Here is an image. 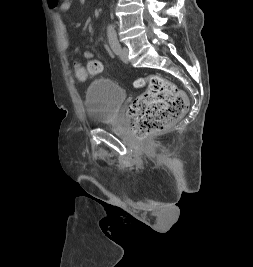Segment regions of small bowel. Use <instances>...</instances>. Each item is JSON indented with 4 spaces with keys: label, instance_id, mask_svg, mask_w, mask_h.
I'll use <instances>...</instances> for the list:
<instances>
[{
    "label": "small bowel",
    "instance_id": "1",
    "mask_svg": "<svg viewBox=\"0 0 253 267\" xmlns=\"http://www.w3.org/2000/svg\"><path fill=\"white\" fill-rule=\"evenodd\" d=\"M47 2L55 13L61 47L62 49L67 50L69 48V40L67 37L66 27L62 19V15L70 9L73 0H62L61 2L59 0H47ZM89 23L90 20L86 22L85 28L89 25Z\"/></svg>",
    "mask_w": 253,
    "mask_h": 267
}]
</instances>
